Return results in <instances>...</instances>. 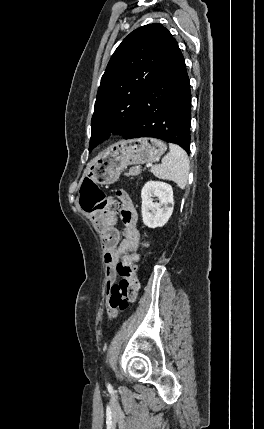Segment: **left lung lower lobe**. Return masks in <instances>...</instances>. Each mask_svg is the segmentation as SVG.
<instances>
[{
	"label": "left lung lower lobe",
	"mask_w": 264,
	"mask_h": 429,
	"mask_svg": "<svg viewBox=\"0 0 264 429\" xmlns=\"http://www.w3.org/2000/svg\"><path fill=\"white\" fill-rule=\"evenodd\" d=\"M191 93L184 57L172 37L160 69L141 101L138 119L125 139L154 137L190 146Z\"/></svg>",
	"instance_id": "0a47b994"
}]
</instances>
